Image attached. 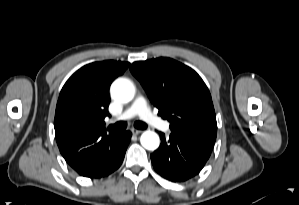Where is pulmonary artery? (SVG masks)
Instances as JSON below:
<instances>
[{
    "instance_id": "obj_1",
    "label": "pulmonary artery",
    "mask_w": 299,
    "mask_h": 205,
    "mask_svg": "<svg viewBox=\"0 0 299 205\" xmlns=\"http://www.w3.org/2000/svg\"><path fill=\"white\" fill-rule=\"evenodd\" d=\"M135 116H139L150 126L165 132L170 131V123L153 114L149 109L145 98L142 96H139L135 99L132 105L120 116V119L127 120Z\"/></svg>"
}]
</instances>
